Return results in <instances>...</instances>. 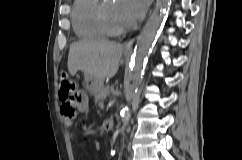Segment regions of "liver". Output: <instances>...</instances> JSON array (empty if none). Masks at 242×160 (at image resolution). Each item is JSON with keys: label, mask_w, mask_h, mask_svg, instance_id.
<instances>
[{"label": "liver", "mask_w": 242, "mask_h": 160, "mask_svg": "<svg viewBox=\"0 0 242 160\" xmlns=\"http://www.w3.org/2000/svg\"><path fill=\"white\" fill-rule=\"evenodd\" d=\"M121 44L106 40H81L70 46L68 70L75 75L78 70L84 76H92L101 81L112 78L118 71L122 56Z\"/></svg>", "instance_id": "liver-1"}]
</instances>
